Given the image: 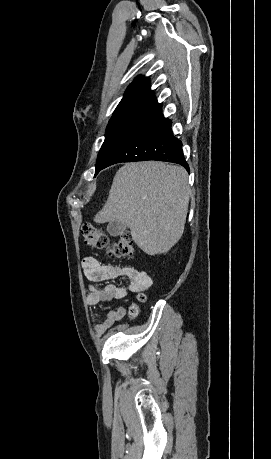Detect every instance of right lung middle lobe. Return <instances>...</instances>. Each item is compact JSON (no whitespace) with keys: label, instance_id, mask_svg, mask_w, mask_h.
<instances>
[{"label":"right lung middle lobe","instance_id":"1","mask_svg":"<svg viewBox=\"0 0 271 459\" xmlns=\"http://www.w3.org/2000/svg\"><path fill=\"white\" fill-rule=\"evenodd\" d=\"M158 115L150 111L113 114L106 129L104 143L98 154L95 176L129 139Z\"/></svg>","mask_w":271,"mask_h":459}]
</instances>
